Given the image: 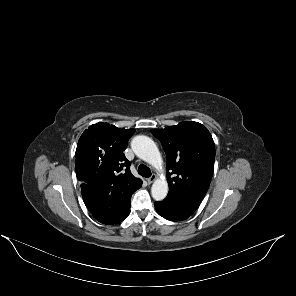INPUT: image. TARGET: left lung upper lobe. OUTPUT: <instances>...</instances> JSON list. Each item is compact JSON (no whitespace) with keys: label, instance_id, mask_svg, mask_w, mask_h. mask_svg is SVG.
<instances>
[{"label":"left lung upper lobe","instance_id":"5c2ea615","mask_svg":"<svg viewBox=\"0 0 296 296\" xmlns=\"http://www.w3.org/2000/svg\"><path fill=\"white\" fill-rule=\"evenodd\" d=\"M167 155L169 192L165 200L200 204L214 170L215 144L210 132L197 122H181L153 129Z\"/></svg>","mask_w":296,"mask_h":296}]
</instances>
